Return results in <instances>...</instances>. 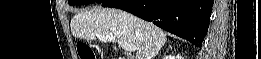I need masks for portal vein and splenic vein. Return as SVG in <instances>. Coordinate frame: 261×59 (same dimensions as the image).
Instances as JSON below:
<instances>
[{
  "mask_svg": "<svg viewBox=\"0 0 261 59\" xmlns=\"http://www.w3.org/2000/svg\"><path fill=\"white\" fill-rule=\"evenodd\" d=\"M98 38L99 40L101 41H104V42H107V41H113V38L110 37V36H101V35H98ZM119 46H121L124 50H127L129 52H133L136 50V47L131 45V44H127V43H124V42H121V41H117Z\"/></svg>",
  "mask_w": 261,
  "mask_h": 59,
  "instance_id": "portal-vein-and-splenic-vein-1",
  "label": "portal vein and splenic vein"
}]
</instances>
